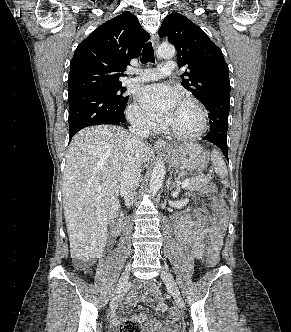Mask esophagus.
I'll return each instance as SVG.
<instances>
[{
  "mask_svg": "<svg viewBox=\"0 0 291 332\" xmlns=\"http://www.w3.org/2000/svg\"><path fill=\"white\" fill-rule=\"evenodd\" d=\"M159 43H160L159 35L157 33H155L152 36V44H153V47H154L156 52H157ZM166 146H167V143L164 140H161V139L155 141V143H154L155 148H165Z\"/></svg>",
  "mask_w": 291,
  "mask_h": 332,
  "instance_id": "esophagus-1",
  "label": "esophagus"
}]
</instances>
